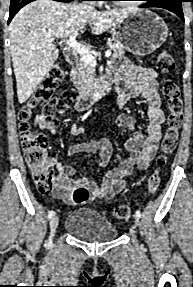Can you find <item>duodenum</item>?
I'll list each match as a JSON object with an SVG mask.
<instances>
[{"instance_id": "duodenum-1", "label": "duodenum", "mask_w": 193, "mask_h": 287, "mask_svg": "<svg viewBox=\"0 0 193 287\" xmlns=\"http://www.w3.org/2000/svg\"><path fill=\"white\" fill-rule=\"evenodd\" d=\"M64 56L67 63L69 64L74 63L77 58L76 52L72 48H67L65 50ZM109 82V79H104L100 87H96L90 91L82 92L77 102L75 103V110L82 111L100 99L106 88L109 86Z\"/></svg>"}]
</instances>
